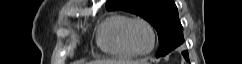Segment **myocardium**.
Segmentation results:
<instances>
[{
  "label": "myocardium",
  "mask_w": 242,
  "mask_h": 64,
  "mask_svg": "<svg viewBox=\"0 0 242 64\" xmlns=\"http://www.w3.org/2000/svg\"><path fill=\"white\" fill-rule=\"evenodd\" d=\"M137 23L144 24L149 29L151 36H152V46L149 50H147L145 52L138 51L135 48V46L131 40V29ZM124 37H125L127 46L130 48V50L135 55H138V56H146V55L150 54L155 49L156 44H157V34H156V30H155L154 26L147 19L142 18V17L132 18L129 21V23L127 24V26L125 28Z\"/></svg>",
  "instance_id": "f54148a6"
}]
</instances>
